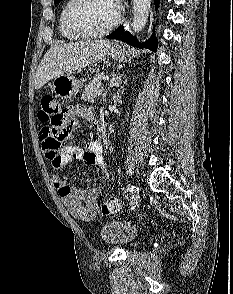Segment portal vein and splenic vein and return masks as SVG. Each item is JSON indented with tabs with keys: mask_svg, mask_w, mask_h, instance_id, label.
Listing matches in <instances>:
<instances>
[{
	"mask_svg": "<svg viewBox=\"0 0 233 294\" xmlns=\"http://www.w3.org/2000/svg\"><path fill=\"white\" fill-rule=\"evenodd\" d=\"M104 81H107V80H109V76H103V78H102Z\"/></svg>",
	"mask_w": 233,
	"mask_h": 294,
	"instance_id": "portal-vein-and-splenic-vein-1",
	"label": "portal vein and splenic vein"
}]
</instances>
